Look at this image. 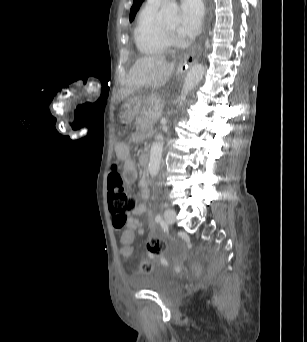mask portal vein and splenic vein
<instances>
[{
	"instance_id": "18ae733b",
	"label": "portal vein and splenic vein",
	"mask_w": 307,
	"mask_h": 342,
	"mask_svg": "<svg viewBox=\"0 0 307 342\" xmlns=\"http://www.w3.org/2000/svg\"><path fill=\"white\" fill-rule=\"evenodd\" d=\"M159 109L162 111L164 108L161 106Z\"/></svg>"
}]
</instances>
